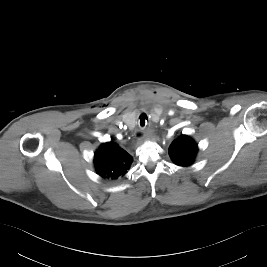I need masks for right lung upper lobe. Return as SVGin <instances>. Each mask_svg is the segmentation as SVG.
Here are the masks:
<instances>
[{
  "label": "right lung upper lobe",
  "instance_id": "right-lung-upper-lobe-1",
  "mask_svg": "<svg viewBox=\"0 0 267 267\" xmlns=\"http://www.w3.org/2000/svg\"><path fill=\"white\" fill-rule=\"evenodd\" d=\"M133 158L113 142L103 143L95 153L94 165L97 174L104 179L123 177L130 168Z\"/></svg>",
  "mask_w": 267,
  "mask_h": 267
}]
</instances>
